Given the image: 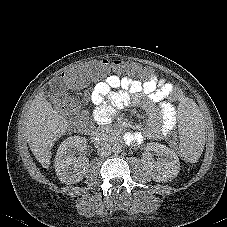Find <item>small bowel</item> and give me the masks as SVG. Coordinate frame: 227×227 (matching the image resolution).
<instances>
[{"label": "small bowel", "instance_id": "1", "mask_svg": "<svg viewBox=\"0 0 227 227\" xmlns=\"http://www.w3.org/2000/svg\"><path fill=\"white\" fill-rule=\"evenodd\" d=\"M173 91V85L163 78L149 81L140 77H120L109 75L99 81L90 93V101L94 104L93 118L99 125L109 123L114 116L115 107L128 104L131 100L145 102L150 117L143 132H132L126 135V141L139 144L144 139L166 137L176 128V113L167 102Z\"/></svg>", "mask_w": 227, "mask_h": 227}]
</instances>
